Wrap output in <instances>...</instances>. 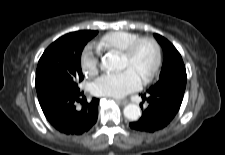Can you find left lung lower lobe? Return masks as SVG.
<instances>
[{"mask_svg": "<svg viewBox=\"0 0 225 155\" xmlns=\"http://www.w3.org/2000/svg\"><path fill=\"white\" fill-rule=\"evenodd\" d=\"M184 93L176 90L170 93L154 92L143 94L141 97L147 100L148 107L143 110L142 117L129 125L132 129L143 132H155L165 128L178 113Z\"/></svg>", "mask_w": 225, "mask_h": 155, "instance_id": "obj_1", "label": "left lung lower lobe"}]
</instances>
